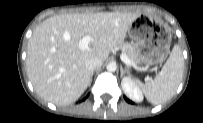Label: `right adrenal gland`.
I'll return each mask as SVG.
<instances>
[{"mask_svg":"<svg viewBox=\"0 0 203 123\" xmlns=\"http://www.w3.org/2000/svg\"><path fill=\"white\" fill-rule=\"evenodd\" d=\"M93 74H94V72H92V73H91V75H90L89 86L91 85V82H92V78H93Z\"/></svg>","mask_w":203,"mask_h":123,"instance_id":"2a0ac1e0","label":"right adrenal gland"}]
</instances>
